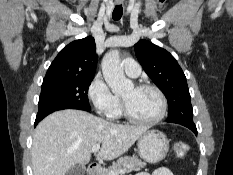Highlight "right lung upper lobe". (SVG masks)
Instances as JSON below:
<instances>
[{"label":"right lung upper lobe","mask_w":233,"mask_h":175,"mask_svg":"<svg viewBox=\"0 0 233 175\" xmlns=\"http://www.w3.org/2000/svg\"><path fill=\"white\" fill-rule=\"evenodd\" d=\"M97 65L96 45L89 36L71 42L53 60L45 78L91 76Z\"/></svg>","instance_id":"1"}]
</instances>
